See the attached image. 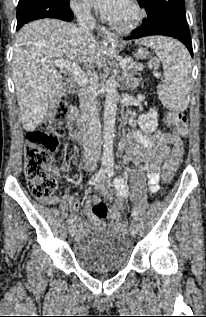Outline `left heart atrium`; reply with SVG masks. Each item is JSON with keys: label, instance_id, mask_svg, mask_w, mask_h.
Returning <instances> with one entry per match:
<instances>
[{"label": "left heart atrium", "instance_id": "left-heart-atrium-1", "mask_svg": "<svg viewBox=\"0 0 206 317\" xmlns=\"http://www.w3.org/2000/svg\"><path fill=\"white\" fill-rule=\"evenodd\" d=\"M107 19H111L122 0H87Z\"/></svg>", "mask_w": 206, "mask_h": 317}]
</instances>
